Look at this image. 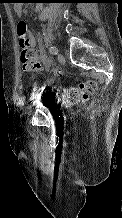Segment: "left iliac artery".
I'll return each instance as SVG.
<instances>
[{
  "label": "left iliac artery",
  "mask_w": 122,
  "mask_h": 218,
  "mask_svg": "<svg viewBox=\"0 0 122 218\" xmlns=\"http://www.w3.org/2000/svg\"><path fill=\"white\" fill-rule=\"evenodd\" d=\"M49 52H50L52 55H55V54L58 53V49H57L55 46H51V47L49 48ZM44 89H45V86H43L41 89H39V92H43ZM34 97H35V94H33V95L31 96V100L34 99Z\"/></svg>",
  "instance_id": "1"
}]
</instances>
